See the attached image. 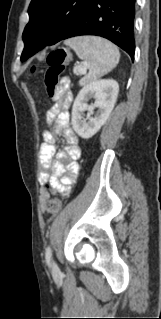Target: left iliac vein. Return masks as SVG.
Returning a JSON list of instances; mask_svg holds the SVG:
<instances>
[{
	"label": "left iliac vein",
	"mask_w": 161,
	"mask_h": 319,
	"mask_svg": "<svg viewBox=\"0 0 161 319\" xmlns=\"http://www.w3.org/2000/svg\"><path fill=\"white\" fill-rule=\"evenodd\" d=\"M52 272H53L54 274L59 273V267H58V265L56 264L55 261H52Z\"/></svg>",
	"instance_id": "obj_1"
}]
</instances>
